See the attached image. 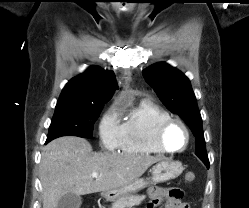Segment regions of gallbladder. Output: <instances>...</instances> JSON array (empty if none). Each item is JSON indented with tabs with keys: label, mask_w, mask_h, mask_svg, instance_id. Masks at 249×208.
I'll return each mask as SVG.
<instances>
[{
	"label": "gallbladder",
	"mask_w": 249,
	"mask_h": 208,
	"mask_svg": "<svg viewBox=\"0 0 249 208\" xmlns=\"http://www.w3.org/2000/svg\"><path fill=\"white\" fill-rule=\"evenodd\" d=\"M81 203L82 198L80 195L68 192L59 200L57 208H79Z\"/></svg>",
	"instance_id": "1"
}]
</instances>
